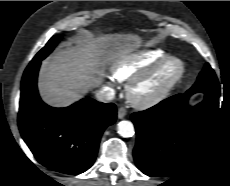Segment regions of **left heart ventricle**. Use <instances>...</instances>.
I'll return each mask as SVG.
<instances>
[{"mask_svg": "<svg viewBox=\"0 0 230 186\" xmlns=\"http://www.w3.org/2000/svg\"><path fill=\"white\" fill-rule=\"evenodd\" d=\"M174 72L175 66L173 64H167L155 76L141 84L137 89V94L146 96L157 91Z\"/></svg>", "mask_w": 230, "mask_h": 186, "instance_id": "obj_1", "label": "left heart ventricle"}]
</instances>
